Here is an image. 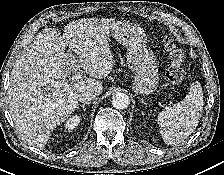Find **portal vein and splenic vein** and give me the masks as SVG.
I'll return each mask as SVG.
<instances>
[{"instance_id": "1", "label": "portal vein and splenic vein", "mask_w": 224, "mask_h": 175, "mask_svg": "<svg viewBox=\"0 0 224 175\" xmlns=\"http://www.w3.org/2000/svg\"><path fill=\"white\" fill-rule=\"evenodd\" d=\"M81 76H82V72H81V70H79V72L77 74H75L73 78L76 80H79V79H81Z\"/></svg>"}]
</instances>
